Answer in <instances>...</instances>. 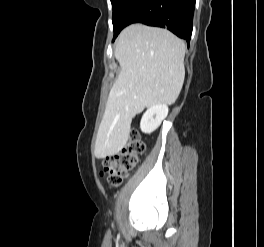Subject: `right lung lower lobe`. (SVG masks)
<instances>
[{"label":"right lung lower lobe","instance_id":"right-lung-lower-lobe-1","mask_svg":"<svg viewBox=\"0 0 264 247\" xmlns=\"http://www.w3.org/2000/svg\"><path fill=\"white\" fill-rule=\"evenodd\" d=\"M195 0H130L117 20L114 38L126 26L143 23L167 28L189 45Z\"/></svg>","mask_w":264,"mask_h":247}]
</instances>
